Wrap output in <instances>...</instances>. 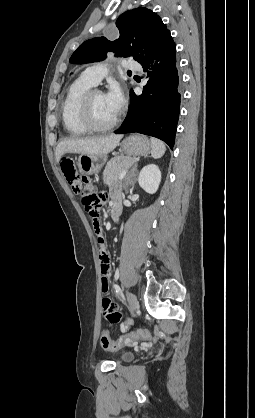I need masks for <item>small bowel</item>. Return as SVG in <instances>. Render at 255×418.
<instances>
[{
  "mask_svg": "<svg viewBox=\"0 0 255 418\" xmlns=\"http://www.w3.org/2000/svg\"><path fill=\"white\" fill-rule=\"evenodd\" d=\"M111 200L113 201V209L119 208L117 201L120 197V191L117 188L112 189L110 192ZM120 209V208H119ZM110 244L109 237L97 236V248L95 250L96 255L99 257L100 271H101V288L103 292H107L109 289V280L112 273V267L110 262L108 246ZM103 319L107 322L114 324L119 322L121 318L120 312L117 310L116 304L109 297H103Z\"/></svg>",
  "mask_w": 255,
  "mask_h": 418,
  "instance_id": "1",
  "label": "small bowel"
}]
</instances>
